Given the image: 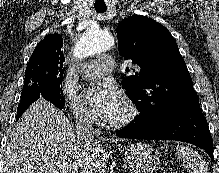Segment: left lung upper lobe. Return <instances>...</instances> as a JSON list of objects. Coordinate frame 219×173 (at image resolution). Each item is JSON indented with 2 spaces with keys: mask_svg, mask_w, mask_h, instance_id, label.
I'll list each match as a JSON object with an SVG mask.
<instances>
[{
  "mask_svg": "<svg viewBox=\"0 0 219 173\" xmlns=\"http://www.w3.org/2000/svg\"><path fill=\"white\" fill-rule=\"evenodd\" d=\"M117 38L122 57L136 66L122 82L141 112L134 122L152 124L179 108L199 104L177 43L164 26L131 16L118 24Z\"/></svg>",
  "mask_w": 219,
  "mask_h": 173,
  "instance_id": "obj_1",
  "label": "left lung upper lobe"
}]
</instances>
